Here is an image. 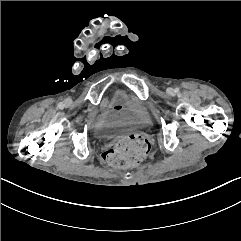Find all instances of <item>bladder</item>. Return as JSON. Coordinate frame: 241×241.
I'll return each instance as SVG.
<instances>
[{"mask_svg":"<svg viewBox=\"0 0 241 241\" xmlns=\"http://www.w3.org/2000/svg\"><path fill=\"white\" fill-rule=\"evenodd\" d=\"M103 119L110 126L132 125L140 119L137 102L124 92H116L103 111Z\"/></svg>","mask_w":241,"mask_h":241,"instance_id":"bladder-1","label":"bladder"}]
</instances>
